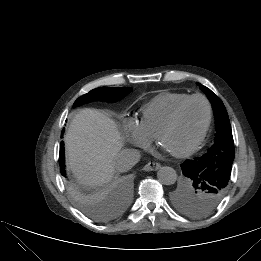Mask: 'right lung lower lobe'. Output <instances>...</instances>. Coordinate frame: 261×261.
Returning a JSON list of instances; mask_svg holds the SVG:
<instances>
[{
    "label": "right lung lower lobe",
    "instance_id": "1",
    "mask_svg": "<svg viewBox=\"0 0 261 261\" xmlns=\"http://www.w3.org/2000/svg\"><path fill=\"white\" fill-rule=\"evenodd\" d=\"M63 131H62V133H63ZM64 159H65V157H64V143L61 142L60 155H59L60 169H61V167H64Z\"/></svg>",
    "mask_w": 261,
    "mask_h": 261
}]
</instances>
